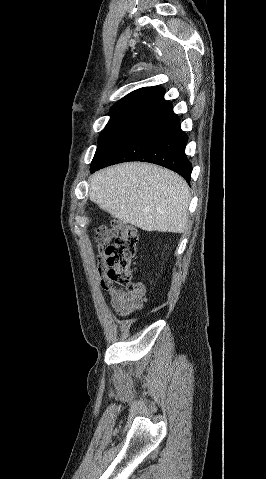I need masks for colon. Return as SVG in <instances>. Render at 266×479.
<instances>
[{
  "label": "colon",
  "instance_id": "colon-1",
  "mask_svg": "<svg viewBox=\"0 0 266 479\" xmlns=\"http://www.w3.org/2000/svg\"><path fill=\"white\" fill-rule=\"evenodd\" d=\"M96 236L100 242L99 257L108 266L110 284L117 290L128 289L133 284L132 263L137 252L135 228L130 225H117L114 229L99 227ZM111 239L113 242L106 244Z\"/></svg>",
  "mask_w": 266,
  "mask_h": 479
}]
</instances>
